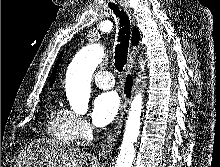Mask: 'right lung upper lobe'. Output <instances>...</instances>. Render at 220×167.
I'll use <instances>...</instances> for the list:
<instances>
[{
	"mask_svg": "<svg viewBox=\"0 0 220 167\" xmlns=\"http://www.w3.org/2000/svg\"><path fill=\"white\" fill-rule=\"evenodd\" d=\"M139 37H140L139 31L137 30L136 27H134L133 32H132V40H131L133 45H137V43L139 42ZM62 55H63V52L60 54L55 66H54V69H53V72L51 75V79H50V86L54 83V80L56 77V70H57V67L61 61Z\"/></svg>",
	"mask_w": 220,
	"mask_h": 167,
	"instance_id": "cb5924a9",
	"label": "right lung upper lobe"
}]
</instances>
